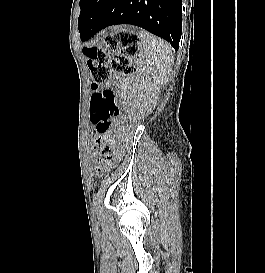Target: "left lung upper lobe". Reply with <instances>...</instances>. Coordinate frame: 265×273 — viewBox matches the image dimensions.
Masks as SVG:
<instances>
[{
	"mask_svg": "<svg viewBox=\"0 0 265 273\" xmlns=\"http://www.w3.org/2000/svg\"><path fill=\"white\" fill-rule=\"evenodd\" d=\"M92 1L93 0H80L79 5L81 8V12H80V16L78 19V28L80 27L83 16L86 14V12L89 10L90 6L92 5Z\"/></svg>",
	"mask_w": 265,
	"mask_h": 273,
	"instance_id": "5c2ea615",
	"label": "left lung upper lobe"
}]
</instances>
